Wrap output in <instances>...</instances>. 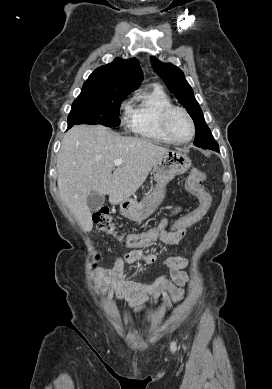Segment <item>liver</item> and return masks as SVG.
<instances>
[{"mask_svg": "<svg viewBox=\"0 0 272 389\" xmlns=\"http://www.w3.org/2000/svg\"><path fill=\"white\" fill-rule=\"evenodd\" d=\"M168 151L147 139L122 137L102 125L74 126L64 135L57 158L61 199L83 230L91 231L90 192L109 195L113 205L129 199ZM115 159L123 160L116 168Z\"/></svg>", "mask_w": 272, "mask_h": 389, "instance_id": "6515ba94", "label": "liver"}]
</instances>
